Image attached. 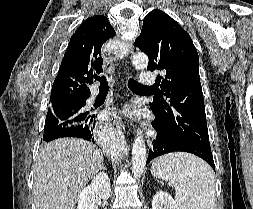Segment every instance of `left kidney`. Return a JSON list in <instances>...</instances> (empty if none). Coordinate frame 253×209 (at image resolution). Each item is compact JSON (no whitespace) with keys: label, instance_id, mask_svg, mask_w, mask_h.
Listing matches in <instances>:
<instances>
[{"label":"left kidney","instance_id":"1","mask_svg":"<svg viewBox=\"0 0 253 209\" xmlns=\"http://www.w3.org/2000/svg\"><path fill=\"white\" fill-rule=\"evenodd\" d=\"M152 209H179V207L171 195L167 192L160 191L153 197Z\"/></svg>","mask_w":253,"mask_h":209}]
</instances>
